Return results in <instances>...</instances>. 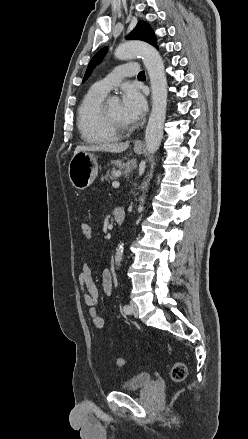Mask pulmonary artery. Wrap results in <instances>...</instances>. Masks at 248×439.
<instances>
[{"label":"pulmonary artery","mask_w":248,"mask_h":439,"mask_svg":"<svg viewBox=\"0 0 248 439\" xmlns=\"http://www.w3.org/2000/svg\"><path fill=\"white\" fill-rule=\"evenodd\" d=\"M138 64L135 62H129L117 67L113 72L96 82L92 88L94 91L100 94L106 95L110 89L120 82L122 78L133 77L139 74Z\"/></svg>","instance_id":"1"}]
</instances>
